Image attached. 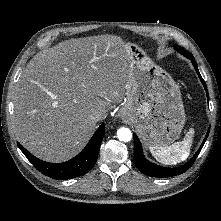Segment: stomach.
<instances>
[{"label":"stomach","mask_w":221,"mask_h":221,"mask_svg":"<svg viewBox=\"0 0 221 221\" xmlns=\"http://www.w3.org/2000/svg\"><path fill=\"white\" fill-rule=\"evenodd\" d=\"M130 60L126 101L120 117L130 122L145 146H168L185 124L181 92L172 77L135 44H126Z\"/></svg>","instance_id":"1"}]
</instances>
